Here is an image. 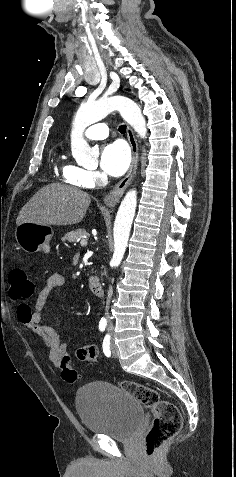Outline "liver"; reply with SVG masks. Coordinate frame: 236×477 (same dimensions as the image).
I'll list each match as a JSON object with an SVG mask.
<instances>
[{"label":"liver","instance_id":"6515ba94","mask_svg":"<svg viewBox=\"0 0 236 477\" xmlns=\"http://www.w3.org/2000/svg\"><path fill=\"white\" fill-rule=\"evenodd\" d=\"M90 203L89 194L76 187L49 184L41 188L23 206L16 224L23 222L55 226L77 224L84 218Z\"/></svg>","mask_w":236,"mask_h":477}]
</instances>
